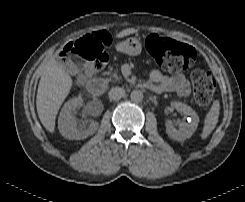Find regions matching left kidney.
Instances as JSON below:
<instances>
[{
	"label": "left kidney",
	"instance_id": "left-kidney-1",
	"mask_svg": "<svg viewBox=\"0 0 245 202\" xmlns=\"http://www.w3.org/2000/svg\"><path fill=\"white\" fill-rule=\"evenodd\" d=\"M171 107L180 113H183L188 122H182L179 130L175 129L171 121L166 122V133L168 136L177 141H183L190 138L197 129L199 117L190 107L181 102H172Z\"/></svg>",
	"mask_w": 245,
	"mask_h": 202
}]
</instances>
